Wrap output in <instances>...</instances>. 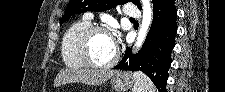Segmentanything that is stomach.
Listing matches in <instances>:
<instances>
[{
  "label": "stomach",
  "mask_w": 225,
  "mask_h": 92,
  "mask_svg": "<svg viewBox=\"0 0 225 92\" xmlns=\"http://www.w3.org/2000/svg\"><path fill=\"white\" fill-rule=\"evenodd\" d=\"M115 92H126L134 85V76L131 72H116L111 79Z\"/></svg>",
  "instance_id": "obj_1"
}]
</instances>
